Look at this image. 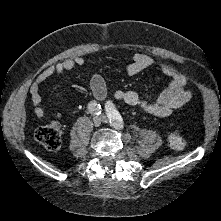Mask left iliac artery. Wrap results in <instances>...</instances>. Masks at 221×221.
I'll return each instance as SVG.
<instances>
[{"instance_id": "left-iliac-artery-1", "label": "left iliac artery", "mask_w": 221, "mask_h": 221, "mask_svg": "<svg viewBox=\"0 0 221 221\" xmlns=\"http://www.w3.org/2000/svg\"><path fill=\"white\" fill-rule=\"evenodd\" d=\"M107 117L109 118L110 123L116 129H123V118L120 113L116 110L112 102L108 101L106 106Z\"/></svg>"}]
</instances>
